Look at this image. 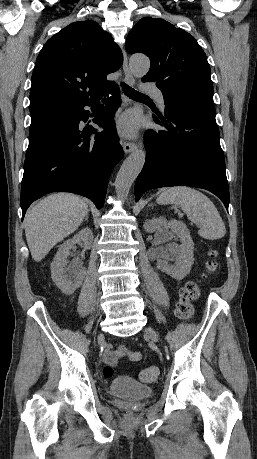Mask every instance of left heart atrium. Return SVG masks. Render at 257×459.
<instances>
[{
  "label": "left heart atrium",
  "mask_w": 257,
  "mask_h": 459,
  "mask_svg": "<svg viewBox=\"0 0 257 459\" xmlns=\"http://www.w3.org/2000/svg\"><path fill=\"white\" fill-rule=\"evenodd\" d=\"M140 119L134 113H127L117 122V130L124 137H134L139 130Z\"/></svg>",
  "instance_id": "1"
}]
</instances>
